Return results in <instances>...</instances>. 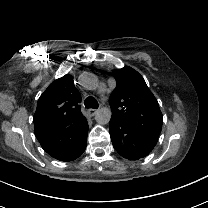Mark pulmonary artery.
Segmentation results:
<instances>
[{"label": "pulmonary artery", "mask_w": 208, "mask_h": 208, "mask_svg": "<svg viewBox=\"0 0 208 208\" xmlns=\"http://www.w3.org/2000/svg\"><path fill=\"white\" fill-rule=\"evenodd\" d=\"M105 87H106L105 82H100V83H99V88H100V89H105Z\"/></svg>", "instance_id": "1"}]
</instances>
